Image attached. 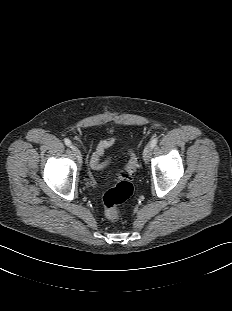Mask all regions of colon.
Returning <instances> with one entry per match:
<instances>
[{
    "instance_id": "1",
    "label": "colon",
    "mask_w": 232,
    "mask_h": 311,
    "mask_svg": "<svg viewBox=\"0 0 232 311\" xmlns=\"http://www.w3.org/2000/svg\"><path fill=\"white\" fill-rule=\"evenodd\" d=\"M129 161L116 177L114 187L103 196L104 214L108 220L115 221L119 217V205L127 201L133 194L132 176L139 166L136 155L129 151Z\"/></svg>"
}]
</instances>
